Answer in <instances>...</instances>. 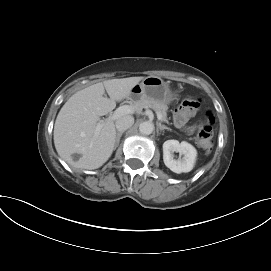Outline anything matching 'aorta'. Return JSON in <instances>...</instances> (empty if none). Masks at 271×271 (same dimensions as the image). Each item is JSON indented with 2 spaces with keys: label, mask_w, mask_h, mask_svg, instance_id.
Wrapping results in <instances>:
<instances>
[{
  "label": "aorta",
  "mask_w": 271,
  "mask_h": 271,
  "mask_svg": "<svg viewBox=\"0 0 271 271\" xmlns=\"http://www.w3.org/2000/svg\"><path fill=\"white\" fill-rule=\"evenodd\" d=\"M139 131L142 134L149 135L154 131V124L150 121L142 122L139 125Z\"/></svg>",
  "instance_id": "1"
}]
</instances>
